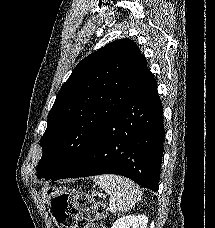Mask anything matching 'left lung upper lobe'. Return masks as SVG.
<instances>
[{
    "instance_id": "left-lung-upper-lobe-1",
    "label": "left lung upper lobe",
    "mask_w": 215,
    "mask_h": 228,
    "mask_svg": "<svg viewBox=\"0 0 215 228\" xmlns=\"http://www.w3.org/2000/svg\"><path fill=\"white\" fill-rule=\"evenodd\" d=\"M129 39L109 43L83 59L63 84L48 114L38 178L64 174L126 102L148 72Z\"/></svg>"
}]
</instances>
